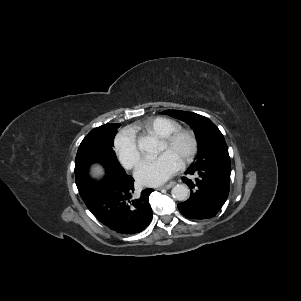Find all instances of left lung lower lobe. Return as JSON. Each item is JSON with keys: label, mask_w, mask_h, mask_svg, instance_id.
<instances>
[{"label": "left lung lower lobe", "mask_w": 301, "mask_h": 301, "mask_svg": "<svg viewBox=\"0 0 301 301\" xmlns=\"http://www.w3.org/2000/svg\"><path fill=\"white\" fill-rule=\"evenodd\" d=\"M185 174L195 175L191 180L183 177L190 187L188 200L179 203L180 212L191 219L214 217L224 205L230 185L231 170L215 167H189Z\"/></svg>", "instance_id": "1"}]
</instances>
